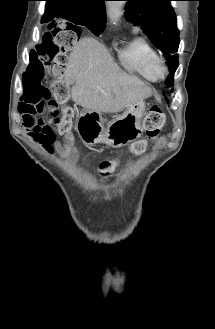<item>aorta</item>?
<instances>
[{"instance_id":"aorta-1","label":"aorta","mask_w":215,"mask_h":329,"mask_svg":"<svg viewBox=\"0 0 215 329\" xmlns=\"http://www.w3.org/2000/svg\"><path fill=\"white\" fill-rule=\"evenodd\" d=\"M122 2L112 1L109 3V16L112 21L118 20L121 14Z\"/></svg>"}]
</instances>
